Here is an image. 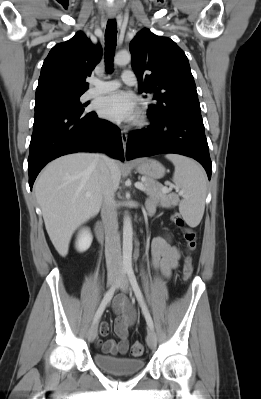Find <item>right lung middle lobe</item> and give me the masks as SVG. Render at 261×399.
<instances>
[{
	"instance_id": "dd1d6c3e",
	"label": "right lung middle lobe",
	"mask_w": 261,
	"mask_h": 399,
	"mask_svg": "<svg viewBox=\"0 0 261 399\" xmlns=\"http://www.w3.org/2000/svg\"><path fill=\"white\" fill-rule=\"evenodd\" d=\"M81 95L82 94L58 96L35 101V112L62 108L72 112L84 114V109L79 101Z\"/></svg>"
}]
</instances>
